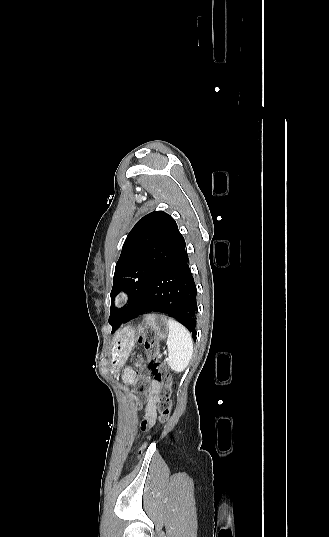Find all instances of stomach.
<instances>
[{
	"instance_id": "1",
	"label": "stomach",
	"mask_w": 329,
	"mask_h": 537,
	"mask_svg": "<svg viewBox=\"0 0 329 537\" xmlns=\"http://www.w3.org/2000/svg\"><path fill=\"white\" fill-rule=\"evenodd\" d=\"M168 318L161 314H148L137 327H126L110 349L111 370L116 373L127 361L137 338L152 333L157 339H165L169 333Z\"/></svg>"
}]
</instances>
